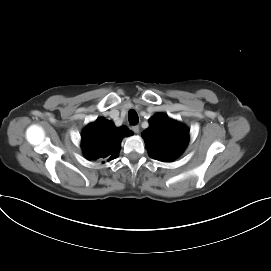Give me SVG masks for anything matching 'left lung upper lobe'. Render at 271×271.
<instances>
[{"label": "left lung upper lobe", "mask_w": 271, "mask_h": 271, "mask_svg": "<svg viewBox=\"0 0 271 271\" xmlns=\"http://www.w3.org/2000/svg\"><path fill=\"white\" fill-rule=\"evenodd\" d=\"M149 124L142 133L149 156L163 162L178 158L187 147L188 129L162 113L154 115Z\"/></svg>", "instance_id": "1"}]
</instances>
